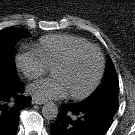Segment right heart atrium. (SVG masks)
<instances>
[{"label":"right heart atrium","instance_id":"1","mask_svg":"<svg viewBox=\"0 0 135 135\" xmlns=\"http://www.w3.org/2000/svg\"><path fill=\"white\" fill-rule=\"evenodd\" d=\"M16 65L28 79H36L48 70L40 54L35 49L18 53Z\"/></svg>","mask_w":135,"mask_h":135}]
</instances>
